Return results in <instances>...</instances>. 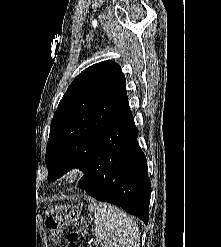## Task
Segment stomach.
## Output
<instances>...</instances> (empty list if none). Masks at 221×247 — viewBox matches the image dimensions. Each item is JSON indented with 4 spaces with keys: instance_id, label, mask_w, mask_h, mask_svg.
I'll use <instances>...</instances> for the list:
<instances>
[{
    "instance_id": "0dacf381",
    "label": "stomach",
    "mask_w": 221,
    "mask_h": 247,
    "mask_svg": "<svg viewBox=\"0 0 221 247\" xmlns=\"http://www.w3.org/2000/svg\"><path fill=\"white\" fill-rule=\"evenodd\" d=\"M49 211L52 213L54 211V208L53 207H49Z\"/></svg>"
}]
</instances>
